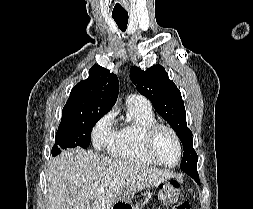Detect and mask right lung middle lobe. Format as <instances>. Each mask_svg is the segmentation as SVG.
Masks as SVG:
<instances>
[{
    "mask_svg": "<svg viewBox=\"0 0 253 209\" xmlns=\"http://www.w3.org/2000/svg\"><path fill=\"white\" fill-rule=\"evenodd\" d=\"M103 116L101 113H90L61 122L52 148V156L61 153L62 149L80 146L87 148L91 141L92 127Z\"/></svg>",
    "mask_w": 253,
    "mask_h": 209,
    "instance_id": "dd1d6c3e",
    "label": "right lung middle lobe"
}]
</instances>
